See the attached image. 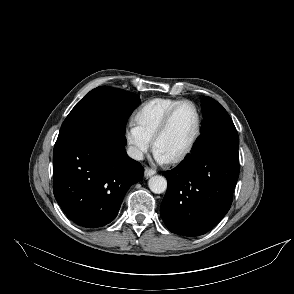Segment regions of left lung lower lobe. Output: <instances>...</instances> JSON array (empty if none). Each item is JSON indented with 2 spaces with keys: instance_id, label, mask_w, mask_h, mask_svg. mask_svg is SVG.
<instances>
[{
  "instance_id": "obj_1",
  "label": "left lung lower lobe",
  "mask_w": 294,
  "mask_h": 294,
  "mask_svg": "<svg viewBox=\"0 0 294 294\" xmlns=\"http://www.w3.org/2000/svg\"><path fill=\"white\" fill-rule=\"evenodd\" d=\"M238 147L235 128L203 133L186 161L163 173L161 217L171 232L202 235L226 215L239 176Z\"/></svg>"
}]
</instances>
